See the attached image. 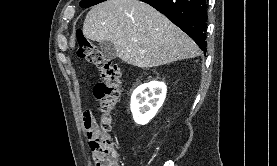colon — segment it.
Instances as JSON below:
<instances>
[{
	"label": "colon",
	"mask_w": 277,
	"mask_h": 166,
	"mask_svg": "<svg viewBox=\"0 0 277 166\" xmlns=\"http://www.w3.org/2000/svg\"><path fill=\"white\" fill-rule=\"evenodd\" d=\"M77 43L78 56L94 64L101 75L93 91L100 104L101 119L99 123L88 120L85 125L94 160L96 166H118V154L111 133L112 111L119 98L120 69L82 31L77 32Z\"/></svg>",
	"instance_id": "colon-1"
}]
</instances>
